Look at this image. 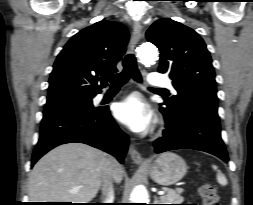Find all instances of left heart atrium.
Here are the masks:
<instances>
[{
	"instance_id": "1",
	"label": "left heart atrium",
	"mask_w": 253,
	"mask_h": 205,
	"mask_svg": "<svg viewBox=\"0 0 253 205\" xmlns=\"http://www.w3.org/2000/svg\"><path fill=\"white\" fill-rule=\"evenodd\" d=\"M116 118L134 132H143L153 123L154 114L138 94H132L119 102L114 110Z\"/></svg>"
}]
</instances>
